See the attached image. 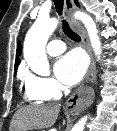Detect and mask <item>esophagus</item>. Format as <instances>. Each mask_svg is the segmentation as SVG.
<instances>
[{
    "instance_id": "34e87169",
    "label": "esophagus",
    "mask_w": 117,
    "mask_h": 131,
    "mask_svg": "<svg viewBox=\"0 0 117 131\" xmlns=\"http://www.w3.org/2000/svg\"><path fill=\"white\" fill-rule=\"evenodd\" d=\"M64 5L69 22L73 29L79 32L83 42V46L88 52L91 60L90 67L85 77V81L87 84L78 88L66 102V110L69 111L71 114H78L89 105H91L94 100V90L90 84L96 78L95 61L91 52L87 35L79 22L73 17V11L75 9L73 0H64Z\"/></svg>"
}]
</instances>
